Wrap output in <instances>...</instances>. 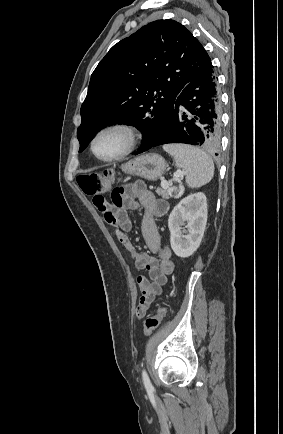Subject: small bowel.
Masks as SVG:
<instances>
[{"mask_svg":"<svg viewBox=\"0 0 283 434\" xmlns=\"http://www.w3.org/2000/svg\"><path fill=\"white\" fill-rule=\"evenodd\" d=\"M93 204L103 213L105 221L116 228L118 241L134 260L137 269L145 271L148 275V277L143 275L137 277L141 297L135 315L138 319H142L156 296L162 293L167 277L174 269L171 261L172 251L169 246L161 245V237L156 224V219L168 212V203L157 199L142 182H134L113 189L110 202L102 193L93 196ZM138 208L144 212L141 230L147 247L154 256L138 251L128 236L131 223L127 210Z\"/></svg>","mask_w":283,"mask_h":434,"instance_id":"1","label":"small bowel"}]
</instances>
